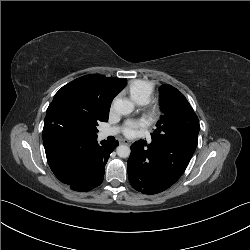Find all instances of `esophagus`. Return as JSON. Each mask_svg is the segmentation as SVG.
I'll list each match as a JSON object with an SVG mask.
<instances>
[{"instance_id": "34e87169", "label": "esophagus", "mask_w": 250, "mask_h": 250, "mask_svg": "<svg viewBox=\"0 0 250 250\" xmlns=\"http://www.w3.org/2000/svg\"><path fill=\"white\" fill-rule=\"evenodd\" d=\"M121 143H123V144H127V145H129V144H130V142H129V141H127V140H122V141H121Z\"/></svg>"}]
</instances>
